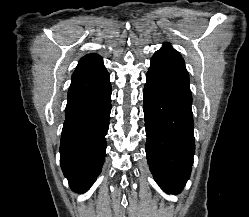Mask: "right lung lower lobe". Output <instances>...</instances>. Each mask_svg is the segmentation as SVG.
I'll use <instances>...</instances> for the list:
<instances>
[{"mask_svg": "<svg viewBox=\"0 0 249 217\" xmlns=\"http://www.w3.org/2000/svg\"><path fill=\"white\" fill-rule=\"evenodd\" d=\"M111 111V84L102 57L81 58L68 90L60 144L61 168L75 192L84 193L101 172Z\"/></svg>", "mask_w": 249, "mask_h": 217, "instance_id": "obj_1", "label": "right lung lower lobe"}]
</instances>
